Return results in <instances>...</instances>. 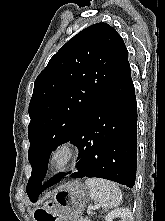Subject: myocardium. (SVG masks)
<instances>
[{"label":"myocardium","instance_id":"1","mask_svg":"<svg viewBox=\"0 0 165 221\" xmlns=\"http://www.w3.org/2000/svg\"><path fill=\"white\" fill-rule=\"evenodd\" d=\"M62 155V160L57 161V157ZM78 155V145L71 139L62 140L56 143L48 155V164L54 172H65L75 162Z\"/></svg>","mask_w":165,"mask_h":221}]
</instances>
